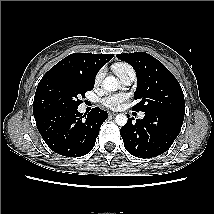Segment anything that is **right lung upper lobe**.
<instances>
[{"mask_svg":"<svg viewBox=\"0 0 214 214\" xmlns=\"http://www.w3.org/2000/svg\"><path fill=\"white\" fill-rule=\"evenodd\" d=\"M112 57V54L73 53L58 62L43 77L59 73L95 82L98 71ZM39 115L34 114V117Z\"/></svg>","mask_w":214,"mask_h":214,"instance_id":"cb5924a9","label":"right lung upper lobe"}]
</instances>
